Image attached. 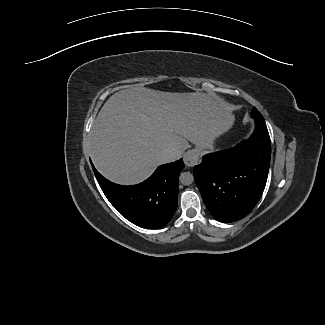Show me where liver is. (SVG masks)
<instances>
[{
	"label": "liver",
	"mask_w": 325,
	"mask_h": 325,
	"mask_svg": "<svg viewBox=\"0 0 325 325\" xmlns=\"http://www.w3.org/2000/svg\"><path fill=\"white\" fill-rule=\"evenodd\" d=\"M232 122L229 105L217 96L135 86L114 93L103 105L93 123L88 150L104 177L132 185L164 163V149H173L178 159L188 141L207 147Z\"/></svg>",
	"instance_id": "liver-1"
}]
</instances>
